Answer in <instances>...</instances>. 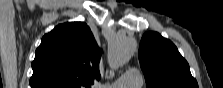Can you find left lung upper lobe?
Here are the masks:
<instances>
[{"instance_id":"1","label":"left lung upper lobe","mask_w":223,"mask_h":88,"mask_svg":"<svg viewBox=\"0 0 223 88\" xmlns=\"http://www.w3.org/2000/svg\"><path fill=\"white\" fill-rule=\"evenodd\" d=\"M139 63L147 88H198L187 61L176 46L156 32L143 35Z\"/></svg>"}]
</instances>
